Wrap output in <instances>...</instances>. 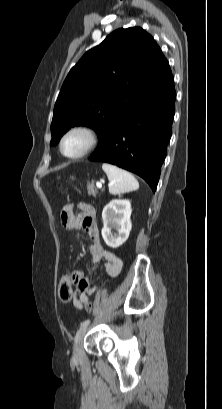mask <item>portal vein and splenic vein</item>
<instances>
[{
	"label": "portal vein and splenic vein",
	"mask_w": 222,
	"mask_h": 409,
	"mask_svg": "<svg viewBox=\"0 0 222 409\" xmlns=\"http://www.w3.org/2000/svg\"><path fill=\"white\" fill-rule=\"evenodd\" d=\"M96 186H97L98 188H102V183H101V182H97V183H96Z\"/></svg>",
	"instance_id": "obj_1"
}]
</instances>
